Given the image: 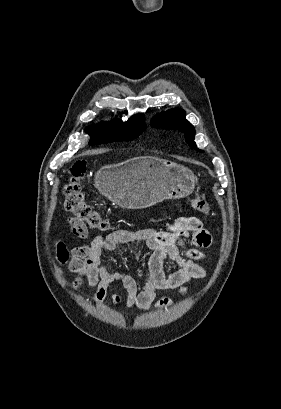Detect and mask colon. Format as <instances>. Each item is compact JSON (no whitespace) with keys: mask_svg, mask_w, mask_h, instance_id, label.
<instances>
[{"mask_svg":"<svg viewBox=\"0 0 281 409\" xmlns=\"http://www.w3.org/2000/svg\"><path fill=\"white\" fill-rule=\"evenodd\" d=\"M86 170L87 163L84 160H78L69 167L67 171L68 180L64 186L66 196L64 207L73 215L74 228L78 233L84 231L83 226L95 232H112L115 227L110 219L85 202L82 179L86 174ZM191 205L197 212L204 215L209 213V206L199 193L194 195Z\"/></svg>","mask_w":281,"mask_h":409,"instance_id":"5ec220e1","label":"colon"}]
</instances>
